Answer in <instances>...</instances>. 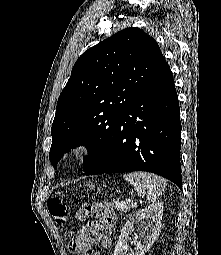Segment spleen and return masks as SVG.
I'll return each mask as SVG.
<instances>
[{
    "label": "spleen",
    "instance_id": "1",
    "mask_svg": "<svg viewBox=\"0 0 221 255\" xmlns=\"http://www.w3.org/2000/svg\"><path fill=\"white\" fill-rule=\"evenodd\" d=\"M123 178L134 187L136 192L145 195L149 202H156L167 185L164 178L146 172L124 174Z\"/></svg>",
    "mask_w": 221,
    "mask_h": 255
}]
</instances>
